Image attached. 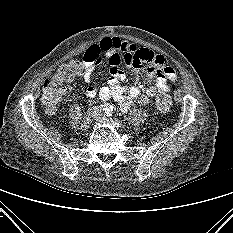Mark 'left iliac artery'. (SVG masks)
I'll list each match as a JSON object with an SVG mask.
<instances>
[{
    "label": "left iliac artery",
    "instance_id": "obj_1",
    "mask_svg": "<svg viewBox=\"0 0 233 233\" xmlns=\"http://www.w3.org/2000/svg\"><path fill=\"white\" fill-rule=\"evenodd\" d=\"M112 113H113V107L111 106L110 109L108 111H106L104 115L107 117H110L112 115Z\"/></svg>",
    "mask_w": 233,
    "mask_h": 233
}]
</instances>
